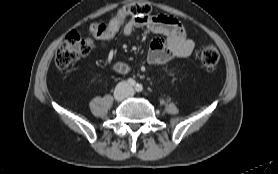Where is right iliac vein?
Listing matches in <instances>:
<instances>
[{"label": "right iliac vein", "instance_id": "1", "mask_svg": "<svg viewBox=\"0 0 278 174\" xmlns=\"http://www.w3.org/2000/svg\"><path fill=\"white\" fill-rule=\"evenodd\" d=\"M127 96V90L124 85L118 86L114 91V98L116 101L120 102Z\"/></svg>", "mask_w": 278, "mask_h": 174}]
</instances>
